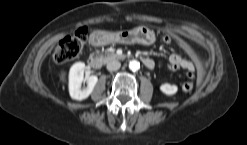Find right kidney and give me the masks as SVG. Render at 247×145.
Here are the masks:
<instances>
[{
  "label": "right kidney",
  "mask_w": 247,
  "mask_h": 145,
  "mask_svg": "<svg viewBox=\"0 0 247 145\" xmlns=\"http://www.w3.org/2000/svg\"><path fill=\"white\" fill-rule=\"evenodd\" d=\"M85 64L83 62L75 63L69 73V93L75 100H84L92 93L95 85L98 82V77L91 75L87 78V87L81 89V84L84 81Z\"/></svg>",
  "instance_id": "ca27d5eb"
}]
</instances>
